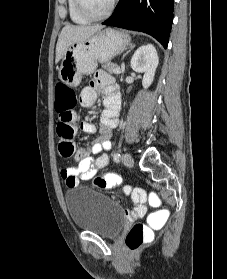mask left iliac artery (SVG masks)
<instances>
[{"mask_svg":"<svg viewBox=\"0 0 227 279\" xmlns=\"http://www.w3.org/2000/svg\"><path fill=\"white\" fill-rule=\"evenodd\" d=\"M120 158H121L120 153H115L114 156H113V159H114L115 162H119Z\"/></svg>","mask_w":227,"mask_h":279,"instance_id":"1","label":"left iliac artery"}]
</instances>
